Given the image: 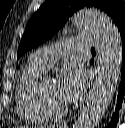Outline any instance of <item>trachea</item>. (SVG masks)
I'll use <instances>...</instances> for the list:
<instances>
[{
  "label": "trachea",
  "instance_id": "obj_1",
  "mask_svg": "<svg viewBox=\"0 0 125 128\" xmlns=\"http://www.w3.org/2000/svg\"><path fill=\"white\" fill-rule=\"evenodd\" d=\"M91 51H95V48H92Z\"/></svg>",
  "mask_w": 125,
  "mask_h": 128
}]
</instances>
